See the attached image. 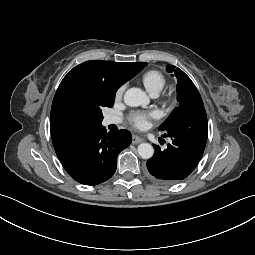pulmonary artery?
<instances>
[{"instance_id":"obj_1","label":"pulmonary artery","mask_w":255,"mask_h":255,"mask_svg":"<svg viewBox=\"0 0 255 255\" xmlns=\"http://www.w3.org/2000/svg\"><path fill=\"white\" fill-rule=\"evenodd\" d=\"M154 96H155V95H154ZM120 122H121V120H120L119 118L113 117V116H108V117H106L105 120H104V123H105L106 125L118 124V123H120Z\"/></svg>"}]
</instances>
